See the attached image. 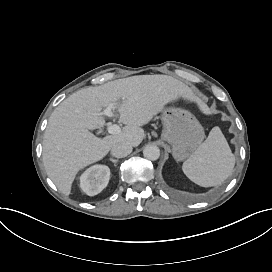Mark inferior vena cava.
Masks as SVG:
<instances>
[{
	"instance_id": "inferior-vena-cava-1",
	"label": "inferior vena cava",
	"mask_w": 272,
	"mask_h": 272,
	"mask_svg": "<svg viewBox=\"0 0 272 272\" xmlns=\"http://www.w3.org/2000/svg\"><path fill=\"white\" fill-rule=\"evenodd\" d=\"M132 152V146L126 143H116L111 148V154L116 158H123Z\"/></svg>"
}]
</instances>
